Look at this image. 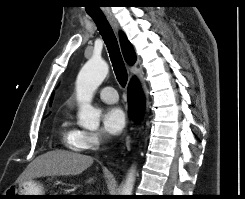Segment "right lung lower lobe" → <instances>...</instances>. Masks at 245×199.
Listing matches in <instances>:
<instances>
[{
    "instance_id": "1",
    "label": "right lung lower lobe",
    "mask_w": 245,
    "mask_h": 199,
    "mask_svg": "<svg viewBox=\"0 0 245 199\" xmlns=\"http://www.w3.org/2000/svg\"><path fill=\"white\" fill-rule=\"evenodd\" d=\"M128 103L131 118L138 120L141 117L144 106V95L138 81H131L129 84Z\"/></svg>"
}]
</instances>
